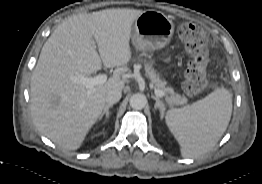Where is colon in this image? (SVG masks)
I'll use <instances>...</instances> for the list:
<instances>
[{
    "mask_svg": "<svg viewBox=\"0 0 262 184\" xmlns=\"http://www.w3.org/2000/svg\"><path fill=\"white\" fill-rule=\"evenodd\" d=\"M177 33L190 57L184 70L183 88L189 95H198L207 87L208 35L195 23L183 22Z\"/></svg>",
    "mask_w": 262,
    "mask_h": 184,
    "instance_id": "1",
    "label": "colon"
}]
</instances>
